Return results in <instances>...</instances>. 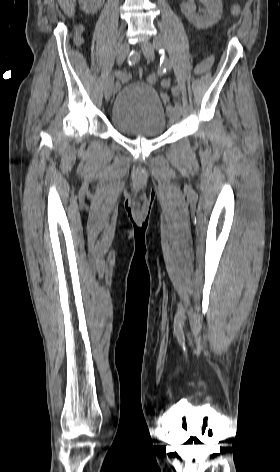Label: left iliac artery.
Segmentation results:
<instances>
[{
    "label": "left iliac artery",
    "instance_id": "left-iliac-artery-1",
    "mask_svg": "<svg viewBox=\"0 0 280 472\" xmlns=\"http://www.w3.org/2000/svg\"><path fill=\"white\" fill-rule=\"evenodd\" d=\"M154 44H155V47H156L157 51H158L159 54L161 55L160 65L162 66V68H163L164 70H171V69H172V63H171V61H170L167 57H165V51H164L165 46H164L163 41L157 40V41H155ZM179 93H180V91H179L178 86H174V87L172 88V94H173V96H174L175 98H177V97L179 96ZM175 107H176L179 111L182 110V106H181L180 102H179L177 99L175 100Z\"/></svg>",
    "mask_w": 280,
    "mask_h": 472
}]
</instances>
